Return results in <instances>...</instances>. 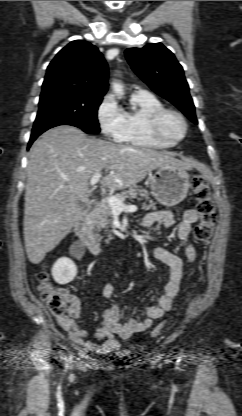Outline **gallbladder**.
<instances>
[{
  "label": "gallbladder",
  "mask_w": 242,
  "mask_h": 416,
  "mask_svg": "<svg viewBox=\"0 0 242 416\" xmlns=\"http://www.w3.org/2000/svg\"><path fill=\"white\" fill-rule=\"evenodd\" d=\"M78 203H79V205H80V207H81V210H84V209H85V207H86V202H83V201H81V200H78Z\"/></svg>",
  "instance_id": "obj_1"
}]
</instances>
